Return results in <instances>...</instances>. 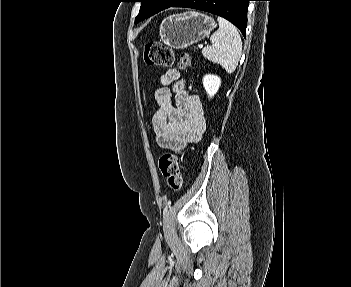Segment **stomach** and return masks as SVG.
Listing matches in <instances>:
<instances>
[{
  "label": "stomach",
  "instance_id": "stomach-1",
  "mask_svg": "<svg viewBox=\"0 0 351 287\" xmlns=\"http://www.w3.org/2000/svg\"><path fill=\"white\" fill-rule=\"evenodd\" d=\"M216 27L213 18L195 11L166 17L160 25L161 41L174 49H185L204 39Z\"/></svg>",
  "mask_w": 351,
  "mask_h": 287
}]
</instances>
